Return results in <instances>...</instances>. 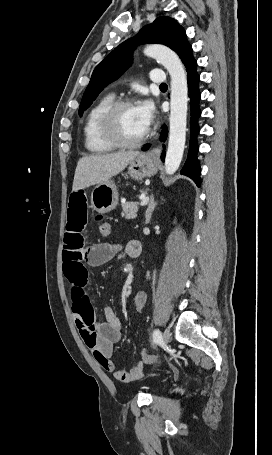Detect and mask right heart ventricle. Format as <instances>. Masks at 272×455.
Listing matches in <instances>:
<instances>
[{"label": "right heart ventricle", "instance_id": "obj_1", "mask_svg": "<svg viewBox=\"0 0 272 455\" xmlns=\"http://www.w3.org/2000/svg\"><path fill=\"white\" fill-rule=\"evenodd\" d=\"M114 101L112 94H107L100 98L97 103L88 112L84 127V144L85 148L93 154H105L115 150V147L109 144L101 135L100 118L106 108Z\"/></svg>", "mask_w": 272, "mask_h": 455}]
</instances>
